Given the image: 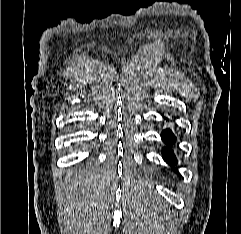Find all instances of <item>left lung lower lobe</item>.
Wrapping results in <instances>:
<instances>
[{"label":"left lung lower lobe","mask_w":241,"mask_h":234,"mask_svg":"<svg viewBox=\"0 0 241 234\" xmlns=\"http://www.w3.org/2000/svg\"><path fill=\"white\" fill-rule=\"evenodd\" d=\"M162 138L168 144V146L175 141V137L170 130L163 131ZM163 157L166 161H168L172 165H175L177 163L176 157L169 150L168 147L164 149Z\"/></svg>","instance_id":"1"}]
</instances>
